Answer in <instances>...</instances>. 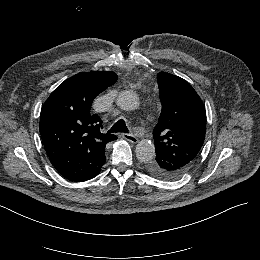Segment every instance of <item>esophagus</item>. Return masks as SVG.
Instances as JSON below:
<instances>
[{
  "mask_svg": "<svg viewBox=\"0 0 260 260\" xmlns=\"http://www.w3.org/2000/svg\"><path fill=\"white\" fill-rule=\"evenodd\" d=\"M122 137H123L125 140H127V141H129V142H131V143H137V142H138V139H137L134 135H132V134L123 133V134H122Z\"/></svg>",
  "mask_w": 260,
  "mask_h": 260,
  "instance_id": "obj_1",
  "label": "esophagus"
}]
</instances>
